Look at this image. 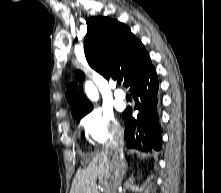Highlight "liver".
I'll return each instance as SVG.
<instances>
[{"instance_id": "6515ba94", "label": "liver", "mask_w": 221, "mask_h": 193, "mask_svg": "<svg viewBox=\"0 0 221 193\" xmlns=\"http://www.w3.org/2000/svg\"><path fill=\"white\" fill-rule=\"evenodd\" d=\"M113 170V153L109 149L96 152L89 165L76 172L70 193H97V177L107 182L113 176Z\"/></svg>"}]
</instances>
